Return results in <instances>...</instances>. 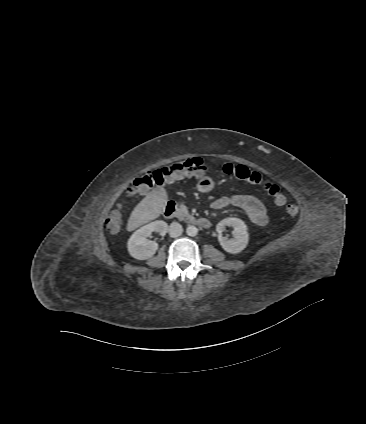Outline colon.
Masks as SVG:
<instances>
[{
    "label": "colon",
    "mask_w": 366,
    "mask_h": 424,
    "mask_svg": "<svg viewBox=\"0 0 366 424\" xmlns=\"http://www.w3.org/2000/svg\"><path fill=\"white\" fill-rule=\"evenodd\" d=\"M203 172L204 163L201 158H188L165 167L143 173L133 181V184L128 189V194L131 196L136 195L155 185H164L177 179L198 177ZM222 172L226 176L245 181L255 186H261L278 206H284L287 203L286 196L276 184L264 180L258 172L249 169L245 165L227 163L222 167ZM285 209L286 213L291 217L296 216L299 210L295 203L287 204ZM121 221L122 215L120 206H118L112 210L107 217L105 221L106 228L111 232H117L120 228Z\"/></svg>",
    "instance_id": "5ec220e1"
}]
</instances>
